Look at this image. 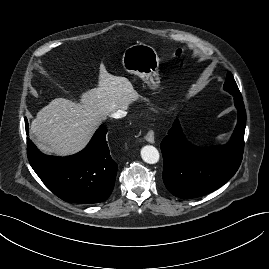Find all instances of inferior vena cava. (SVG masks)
Here are the masks:
<instances>
[{
  "instance_id": "1",
  "label": "inferior vena cava",
  "mask_w": 269,
  "mask_h": 269,
  "mask_svg": "<svg viewBox=\"0 0 269 269\" xmlns=\"http://www.w3.org/2000/svg\"><path fill=\"white\" fill-rule=\"evenodd\" d=\"M126 114H127V112L125 110H118L112 114V117L116 118V119L123 118L126 116Z\"/></svg>"
}]
</instances>
